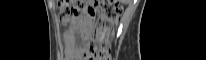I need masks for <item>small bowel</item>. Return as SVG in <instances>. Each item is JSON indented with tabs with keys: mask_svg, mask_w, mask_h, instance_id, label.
I'll list each match as a JSON object with an SVG mask.
<instances>
[{
	"mask_svg": "<svg viewBox=\"0 0 206 60\" xmlns=\"http://www.w3.org/2000/svg\"><path fill=\"white\" fill-rule=\"evenodd\" d=\"M85 21H79L75 24V27L70 28L64 34V41H65V56L67 60H78L81 57V51L76 48L75 40H74V33L77 27H81L86 24Z\"/></svg>",
	"mask_w": 206,
	"mask_h": 60,
	"instance_id": "1",
	"label": "small bowel"
}]
</instances>
